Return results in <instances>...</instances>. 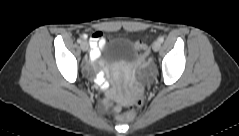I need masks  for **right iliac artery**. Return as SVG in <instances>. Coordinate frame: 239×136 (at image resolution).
<instances>
[{
	"label": "right iliac artery",
	"mask_w": 239,
	"mask_h": 136,
	"mask_svg": "<svg viewBox=\"0 0 239 136\" xmlns=\"http://www.w3.org/2000/svg\"><path fill=\"white\" fill-rule=\"evenodd\" d=\"M77 42H78V43H81V42H82V40L79 38V39L77 40Z\"/></svg>",
	"instance_id": "1"
}]
</instances>
